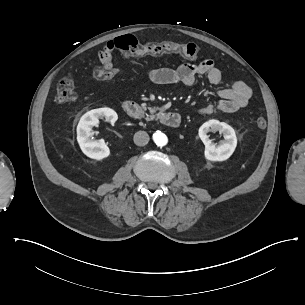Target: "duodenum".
I'll list each match as a JSON object with an SVG mask.
<instances>
[{
  "label": "duodenum",
  "instance_id": "duodenum-1",
  "mask_svg": "<svg viewBox=\"0 0 305 305\" xmlns=\"http://www.w3.org/2000/svg\"><path fill=\"white\" fill-rule=\"evenodd\" d=\"M123 112L134 119H142L145 112L139 103L135 101H125L122 104ZM161 123L168 128H177L180 125V116L176 112L167 111L160 116Z\"/></svg>",
  "mask_w": 305,
  "mask_h": 305
}]
</instances>
